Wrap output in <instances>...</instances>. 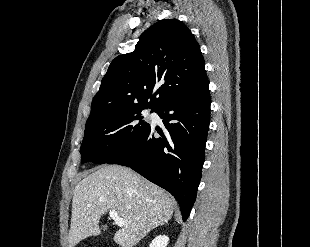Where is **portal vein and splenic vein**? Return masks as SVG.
<instances>
[{
	"label": "portal vein and splenic vein",
	"instance_id": "18ae733b",
	"mask_svg": "<svg viewBox=\"0 0 310 247\" xmlns=\"http://www.w3.org/2000/svg\"><path fill=\"white\" fill-rule=\"evenodd\" d=\"M109 217L114 220L117 226L123 227L125 225L124 220L119 216L116 210L114 209L109 210Z\"/></svg>",
	"mask_w": 310,
	"mask_h": 247
}]
</instances>
